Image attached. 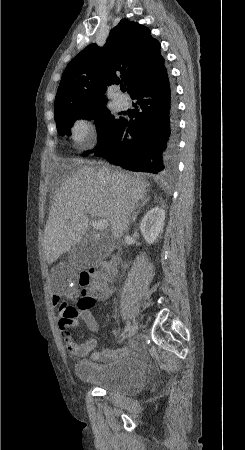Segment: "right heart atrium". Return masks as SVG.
I'll list each match as a JSON object with an SVG mask.
<instances>
[{
  "label": "right heart atrium",
  "instance_id": "1",
  "mask_svg": "<svg viewBox=\"0 0 245 450\" xmlns=\"http://www.w3.org/2000/svg\"><path fill=\"white\" fill-rule=\"evenodd\" d=\"M95 137L94 127L86 120H77L72 126V139L81 146H89Z\"/></svg>",
  "mask_w": 245,
  "mask_h": 450
}]
</instances>
